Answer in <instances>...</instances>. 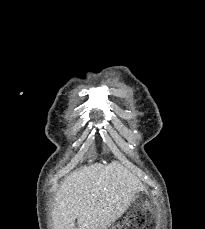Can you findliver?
<instances>
[{
    "label": "liver",
    "instance_id": "obj_1",
    "mask_svg": "<svg viewBox=\"0 0 205 229\" xmlns=\"http://www.w3.org/2000/svg\"><path fill=\"white\" fill-rule=\"evenodd\" d=\"M136 183V177L116 161L81 167L57 191L55 229H107L127 210Z\"/></svg>",
    "mask_w": 205,
    "mask_h": 229
}]
</instances>
